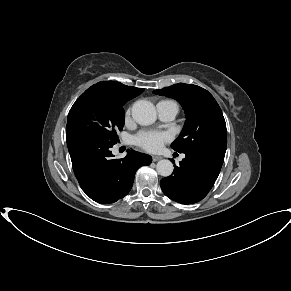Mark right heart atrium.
<instances>
[{"label": "right heart atrium", "instance_id": "d8ad5b80", "mask_svg": "<svg viewBox=\"0 0 291 291\" xmlns=\"http://www.w3.org/2000/svg\"><path fill=\"white\" fill-rule=\"evenodd\" d=\"M129 114H130V109L126 113V118L129 116Z\"/></svg>", "mask_w": 291, "mask_h": 291}]
</instances>
